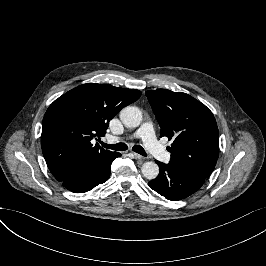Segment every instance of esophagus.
<instances>
[{
	"label": "esophagus",
	"instance_id": "obj_1",
	"mask_svg": "<svg viewBox=\"0 0 266 266\" xmlns=\"http://www.w3.org/2000/svg\"><path fill=\"white\" fill-rule=\"evenodd\" d=\"M132 154L135 159H139V160L145 159V157H143L142 155H139L138 153L132 152Z\"/></svg>",
	"mask_w": 266,
	"mask_h": 266
}]
</instances>
